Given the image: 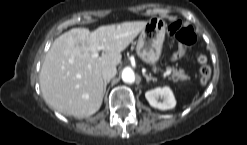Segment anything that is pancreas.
Here are the masks:
<instances>
[{
    "instance_id": "1",
    "label": "pancreas",
    "mask_w": 247,
    "mask_h": 145,
    "mask_svg": "<svg viewBox=\"0 0 247 145\" xmlns=\"http://www.w3.org/2000/svg\"><path fill=\"white\" fill-rule=\"evenodd\" d=\"M172 71V78L177 81V80H188L189 76L185 74L184 70H177L175 68L171 69Z\"/></svg>"
}]
</instances>
